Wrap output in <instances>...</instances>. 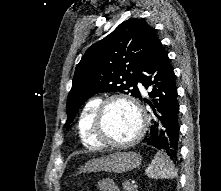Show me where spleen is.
I'll use <instances>...</instances> for the list:
<instances>
[{
	"label": "spleen",
	"mask_w": 221,
	"mask_h": 191,
	"mask_svg": "<svg viewBox=\"0 0 221 191\" xmlns=\"http://www.w3.org/2000/svg\"><path fill=\"white\" fill-rule=\"evenodd\" d=\"M152 179H172L177 176L173 163L162 152H157L151 164L145 171Z\"/></svg>",
	"instance_id": "spleen-1"
}]
</instances>
